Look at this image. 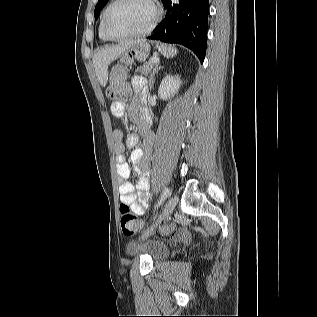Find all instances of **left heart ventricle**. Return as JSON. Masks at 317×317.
Wrapping results in <instances>:
<instances>
[{
    "label": "left heart ventricle",
    "instance_id": "left-heart-ventricle-1",
    "mask_svg": "<svg viewBox=\"0 0 317 317\" xmlns=\"http://www.w3.org/2000/svg\"><path fill=\"white\" fill-rule=\"evenodd\" d=\"M152 16V7L145 0H123L112 12L108 28L117 36L133 34L146 28Z\"/></svg>",
    "mask_w": 317,
    "mask_h": 317
}]
</instances>
